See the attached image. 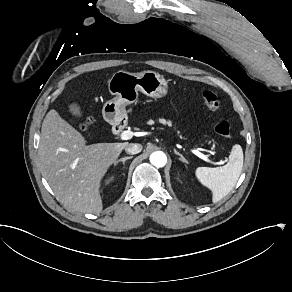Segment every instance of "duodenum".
<instances>
[{"label":"duodenum","mask_w":292,"mask_h":292,"mask_svg":"<svg viewBox=\"0 0 292 292\" xmlns=\"http://www.w3.org/2000/svg\"><path fill=\"white\" fill-rule=\"evenodd\" d=\"M123 131V126L117 125L113 127V133L119 135Z\"/></svg>","instance_id":"1"}]
</instances>
